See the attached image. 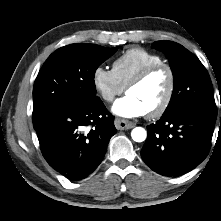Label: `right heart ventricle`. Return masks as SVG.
I'll return each instance as SVG.
<instances>
[{"label": "right heart ventricle", "mask_w": 221, "mask_h": 221, "mask_svg": "<svg viewBox=\"0 0 221 221\" xmlns=\"http://www.w3.org/2000/svg\"><path fill=\"white\" fill-rule=\"evenodd\" d=\"M163 63V59L144 48L133 47L124 51L112 63V71L118 81L126 87L129 81L144 68Z\"/></svg>", "instance_id": "e07e8e85"}]
</instances>
